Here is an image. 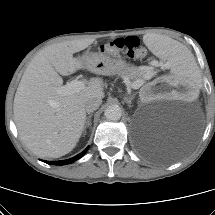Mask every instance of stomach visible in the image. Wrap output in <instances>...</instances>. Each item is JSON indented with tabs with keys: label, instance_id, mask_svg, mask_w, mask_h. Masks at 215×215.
<instances>
[{
	"label": "stomach",
	"instance_id": "obj_1",
	"mask_svg": "<svg viewBox=\"0 0 215 215\" xmlns=\"http://www.w3.org/2000/svg\"><path fill=\"white\" fill-rule=\"evenodd\" d=\"M80 59L86 69L99 75L119 74L127 68L122 59L112 58L102 52H86Z\"/></svg>",
	"mask_w": 215,
	"mask_h": 215
}]
</instances>
